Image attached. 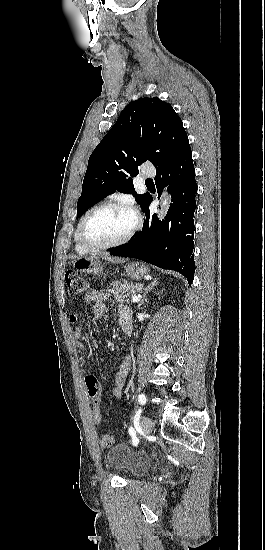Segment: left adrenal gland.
Listing matches in <instances>:
<instances>
[{"instance_id":"1","label":"left adrenal gland","mask_w":265,"mask_h":550,"mask_svg":"<svg viewBox=\"0 0 265 550\" xmlns=\"http://www.w3.org/2000/svg\"><path fill=\"white\" fill-rule=\"evenodd\" d=\"M158 281L157 279L153 280L149 285H147V287H145L144 289V294H143V297L138 305V310L141 309V306L143 305L144 301H145V298H146V295L153 289V287L155 285H157Z\"/></svg>"}]
</instances>
